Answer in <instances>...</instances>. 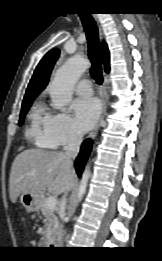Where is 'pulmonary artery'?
Listing matches in <instances>:
<instances>
[{"instance_id":"1","label":"pulmonary artery","mask_w":162,"mask_h":261,"mask_svg":"<svg viewBox=\"0 0 162 261\" xmlns=\"http://www.w3.org/2000/svg\"><path fill=\"white\" fill-rule=\"evenodd\" d=\"M75 91L78 95H80L82 97L91 96V94H92L91 81L88 79L80 80L75 86Z\"/></svg>"}]
</instances>
